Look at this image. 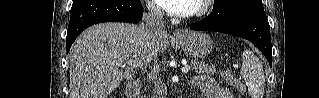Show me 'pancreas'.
I'll list each match as a JSON object with an SVG mask.
<instances>
[{
  "label": "pancreas",
  "mask_w": 319,
  "mask_h": 98,
  "mask_svg": "<svg viewBox=\"0 0 319 98\" xmlns=\"http://www.w3.org/2000/svg\"><path fill=\"white\" fill-rule=\"evenodd\" d=\"M192 70L195 73L203 74L207 78L214 75L216 71L214 66H208L202 61H192Z\"/></svg>",
  "instance_id": "cf45deb5"
}]
</instances>
